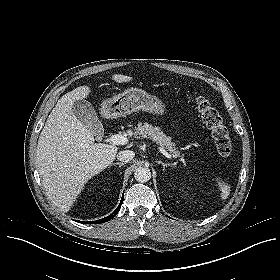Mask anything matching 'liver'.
<instances>
[{
  "label": "liver",
  "mask_w": 280,
  "mask_h": 280,
  "mask_svg": "<svg viewBox=\"0 0 280 280\" xmlns=\"http://www.w3.org/2000/svg\"><path fill=\"white\" fill-rule=\"evenodd\" d=\"M117 83L130 82L132 77L115 74ZM90 93L80 86L63 95L52 109L40 133L36 163L48 198L62 211H69L77 196L94 175L115 159L118 147L94 143L90 129L72 111L75 100Z\"/></svg>",
  "instance_id": "liver-1"
}]
</instances>
